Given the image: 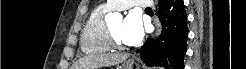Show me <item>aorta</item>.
Masks as SVG:
<instances>
[{"label": "aorta", "mask_w": 246, "mask_h": 69, "mask_svg": "<svg viewBox=\"0 0 246 69\" xmlns=\"http://www.w3.org/2000/svg\"><path fill=\"white\" fill-rule=\"evenodd\" d=\"M121 15L119 13H110L106 16V20L119 19Z\"/></svg>", "instance_id": "1"}]
</instances>
